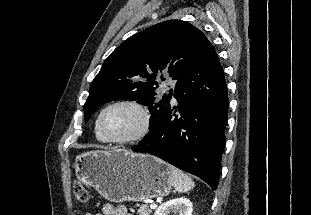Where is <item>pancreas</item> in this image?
<instances>
[{
  "label": "pancreas",
  "mask_w": 311,
  "mask_h": 215,
  "mask_svg": "<svg viewBox=\"0 0 311 215\" xmlns=\"http://www.w3.org/2000/svg\"><path fill=\"white\" fill-rule=\"evenodd\" d=\"M138 215H150L152 210L147 204L138 205Z\"/></svg>",
  "instance_id": "obj_1"
}]
</instances>
